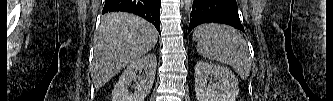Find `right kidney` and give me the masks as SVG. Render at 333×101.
<instances>
[{
    "label": "right kidney",
    "mask_w": 333,
    "mask_h": 101,
    "mask_svg": "<svg viewBox=\"0 0 333 101\" xmlns=\"http://www.w3.org/2000/svg\"><path fill=\"white\" fill-rule=\"evenodd\" d=\"M156 66V55L153 53L131 62L114 86L112 101H144L154 83ZM142 70L145 71L144 77L137 75ZM137 79L138 81H136ZM132 81H136L134 93L128 90Z\"/></svg>",
    "instance_id": "ca27d5eb"
}]
</instances>
